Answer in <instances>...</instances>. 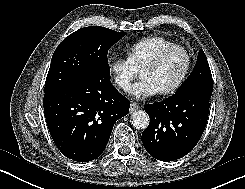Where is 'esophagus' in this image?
<instances>
[{"instance_id": "1", "label": "esophagus", "mask_w": 245, "mask_h": 189, "mask_svg": "<svg viewBox=\"0 0 245 189\" xmlns=\"http://www.w3.org/2000/svg\"><path fill=\"white\" fill-rule=\"evenodd\" d=\"M139 108H140V107H139L138 104H136V103H134V102H131V103H130V108H129L130 113H133L134 111L138 110Z\"/></svg>"}]
</instances>
